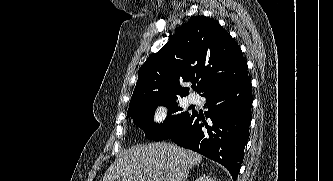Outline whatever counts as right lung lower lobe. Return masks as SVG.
Listing matches in <instances>:
<instances>
[{
	"label": "right lung lower lobe",
	"mask_w": 333,
	"mask_h": 181,
	"mask_svg": "<svg viewBox=\"0 0 333 181\" xmlns=\"http://www.w3.org/2000/svg\"><path fill=\"white\" fill-rule=\"evenodd\" d=\"M208 112H193L169 139L225 166L236 180L251 122L250 76L205 92Z\"/></svg>",
	"instance_id": "right-lung-lower-lobe-1"
}]
</instances>
